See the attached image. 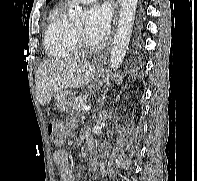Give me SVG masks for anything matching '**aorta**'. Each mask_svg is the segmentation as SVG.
<instances>
[{"mask_svg":"<svg viewBox=\"0 0 197 181\" xmlns=\"http://www.w3.org/2000/svg\"><path fill=\"white\" fill-rule=\"evenodd\" d=\"M137 0H122L120 17L111 51V68L115 71L122 64L127 52L135 19ZM70 20L75 24L84 21L82 9L72 1L69 5Z\"/></svg>","mask_w":197,"mask_h":181,"instance_id":"1","label":"aorta"}]
</instances>
